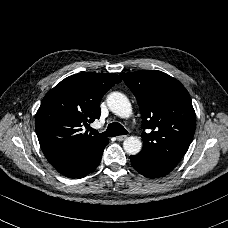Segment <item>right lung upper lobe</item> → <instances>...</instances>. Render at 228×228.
Instances as JSON below:
<instances>
[{"instance_id":"right-lung-upper-lobe-1","label":"right lung upper lobe","mask_w":228,"mask_h":228,"mask_svg":"<svg viewBox=\"0 0 228 228\" xmlns=\"http://www.w3.org/2000/svg\"><path fill=\"white\" fill-rule=\"evenodd\" d=\"M121 78L113 73H79L62 80L43 98L35 117L41 149L49 162L69 158L104 138L79 133L100 117L103 95Z\"/></svg>"}]
</instances>
